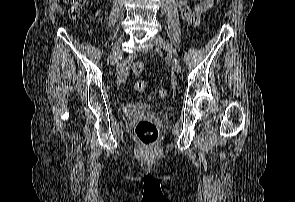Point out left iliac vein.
<instances>
[{
  "instance_id": "left-iliac-vein-1",
  "label": "left iliac vein",
  "mask_w": 295,
  "mask_h": 202,
  "mask_svg": "<svg viewBox=\"0 0 295 202\" xmlns=\"http://www.w3.org/2000/svg\"><path fill=\"white\" fill-rule=\"evenodd\" d=\"M151 42L155 46L164 48L165 50L169 52V55L172 58V67L174 71L178 74L181 73V65L179 61L174 57L170 45L160 35L153 36L151 38Z\"/></svg>"
}]
</instances>
